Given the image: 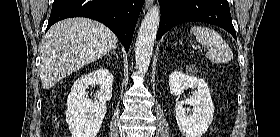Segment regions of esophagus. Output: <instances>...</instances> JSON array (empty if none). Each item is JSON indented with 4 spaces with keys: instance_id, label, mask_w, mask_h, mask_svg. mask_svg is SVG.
I'll use <instances>...</instances> for the list:
<instances>
[{
    "instance_id": "esophagus-1",
    "label": "esophagus",
    "mask_w": 280,
    "mask_h": 137,
    "mask_svg": "<svg viewBox=\"0 0 280 137\" xmlns=\"http://www.w3.org/2000/svg\"><path fill=\"white\" fill-rule=\"evenodd\" d=\"M152 4H153V0H146V1H145L144 12H145L146 10H148V9L151 7Z\"/></svg>"
}]
</instances>
